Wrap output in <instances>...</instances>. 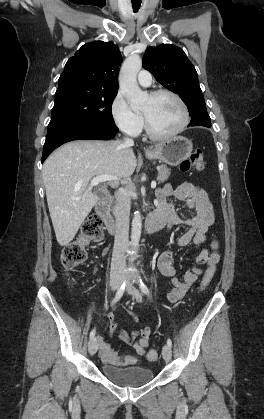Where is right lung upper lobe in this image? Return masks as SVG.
Returning a JSON list of instances; mask_svg holds the SVG:
<instances>
[{"label":"right lung upper lobe","mask_w":264,"mask_h":419,"mask_svg":"<svg viewBox=\"0 0 264 419\" xmlns=\"http://www.w3.org/2000/svg\"><path fill=\"white\" fill-rule=\"evenodd\" d=\"M121 62L122 56L114 43H87L67 61L59 78V87L78 84L91 90L117 92Z\"/></svg>","instance_id":"1"}]
</instances>
